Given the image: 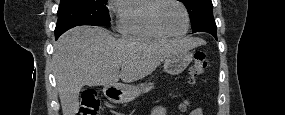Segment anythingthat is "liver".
Wrapping results in <instances>:
<instances>
[{
    "label": "liver",
    "instance_id": "6515ba94",
    "mask_svg": "<svg viewBox=\"0 0 285 115\" xmlns=\"http://www.w3.org/2000/svg\"><path fill=\"white\" fill-rule=\"evenodd\" d=\"M203 43L191 37L166 41L131 36L116 39L108 30L92 26L68 30L55 43L52 57L63 115H76L83 86L140 80L168 56Z\"/></svg>",
    "mask_w": 285,
    "mask_h": 115
}]
</instances>
